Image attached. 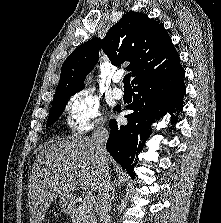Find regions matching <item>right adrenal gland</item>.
<instances>
[{
	"mask_svg": "<svg viewBox=\"0 0 221 223\" xmlns=\"http://www.w3.org/2000/svg\"><path fill=\"white\" fill-rule=\"evenodd\" d=\"M115 194H116L115 184H112V196H113V199H114Z\"/></svg>",
	"mask_w": 221,
	"mask_h": 223,
	"instance_id": "2a0ac1e0",
	"label": "right adrenal gland"
}]
</instances>
